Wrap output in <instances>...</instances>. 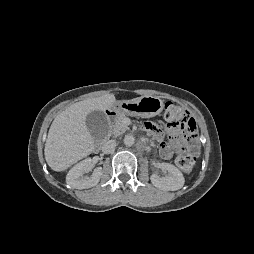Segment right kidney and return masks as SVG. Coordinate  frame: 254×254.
<instances>
[{"label":"right kidney","mask_w":254,"mask_h":254,"mask_svg":"<svg viewBox=\"0 0 254 254\" xmlns=\"http://www.w3.org/2000/svg\"><path fill=\"white\" fill-rule=\"evenodd\" d=\"M91 158H87L76 164L67 174L66 182L72 188L86 189L98 184L102 175V168H95L91 176H85L84 172L92 168Z\"/></svg>","instance_id":"1"}]
</instances>
